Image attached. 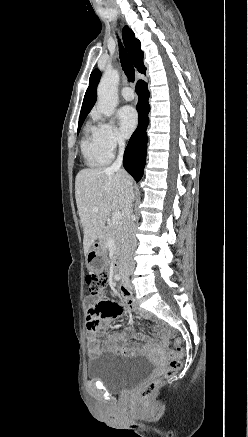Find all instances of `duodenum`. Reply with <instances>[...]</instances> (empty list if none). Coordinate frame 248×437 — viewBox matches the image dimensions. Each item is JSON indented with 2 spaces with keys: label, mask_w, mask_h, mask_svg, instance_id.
<instances>
[{
  "label": "duodenum",
  "mask_w": 248,
  "mask_h": 437,
  "mask_svg": "<svg viewBox=\"0 0 248 437\" xmlns=\"http://www.w3.org/2000/svg\"><path fill=\"white\" fill-rule=\"evenodd\" d=\"M122 265L121 257H117L114 261V268L116 271H119Z\"/></svg>",
  "instance_id": "410a0bca"
}]
</instances>
